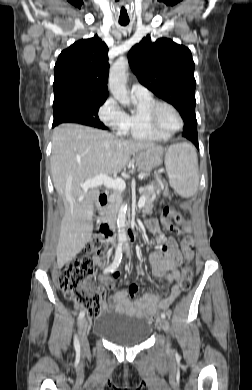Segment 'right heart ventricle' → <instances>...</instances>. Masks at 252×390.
Here are the masks:
<instances>
[{"label":"right heart ventricle","instance_id":"1","mask_svg":"<svg viewBox=\"0 0 252 390\" xmlns=\"http://www.w3.org/2000/svg\"><path fill=\"white\" fill-rule=\"evenodd\" d=\"M156 102L152 95L144 98L134 97L135 109L126 114V130L122 135L142 142L167 140L169 135L154 131L147 121V113Z\"/></svg>","mask_w":252,"mask_h":390}]
</instances>
